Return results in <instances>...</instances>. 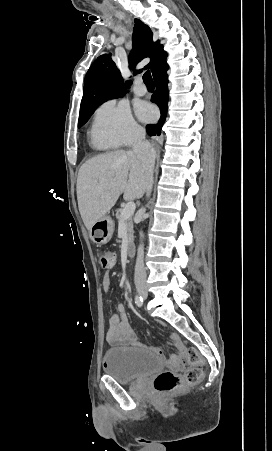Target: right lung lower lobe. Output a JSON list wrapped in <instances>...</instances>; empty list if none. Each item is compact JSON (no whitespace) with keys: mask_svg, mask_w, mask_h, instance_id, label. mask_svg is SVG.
I'll return each mask as SVG.
<instances>
[{"mask_svg":"<svg viewBox=\"0 0 272 451\" xmlns=\"http://www.w3.org/2000/svg\"><path fill=\"white\" fill-rule=\"evenodd\" d=\"M168 65L165 62L160 64L155 72L153 73V78L156 84V91L151 97V101L156 103L161 112V117L158 123L149 124L146 126V130L148 135L156 136L160 135L162 131V127L165 123L166 114H167V103H168V76H167Z\"/></svg>","mask_w":272,"mask_h":451,"instance_id":"98d812e1","label":"right lung lower lobe"}]
</instances>
